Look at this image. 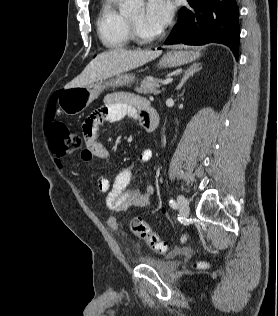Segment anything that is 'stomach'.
Wrapping results in <instances>:
<instances>
[{
	"mask_svg": "<svg viewBox=\"0 0 278 316\" xmlns=\"http://www.w3.org/2000/svg\"><path fill=\"white\" fill-rule=\"evenodd\" d=\"M200 56L195 51H172L165 54L159 62L160 67H177L195 61ZM133 74H118L116 79L98 81L85 87L64 89L59 93L58 105L67 115H77L84 111L90 103L108 86H122L133 82Z\"/></svg>",
	"mask_w": 278,
	"mask_h": 316,
	"instance_id": "stomach-1",
	"label": "stomach"
}]
</instances>
